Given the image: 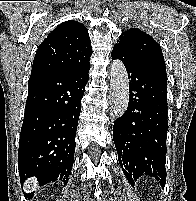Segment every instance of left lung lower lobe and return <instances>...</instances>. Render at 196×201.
I'll list each match as a JSON object with an SVG mask.
<instances>
[{
  "instance_id": "left-lung-lower-lobe-1",
  "label": "left lung lower lobe",
  "mask_w": 196,
  "mask_h": 201,
  "mask_svg": "<svg viewBox=\"0 0 196 201\" xmlns=\"http://www.w3.org/2000/svg\"><path fill=\"white\" fill-rule=\"evenodd\" d=\"M111 55L124 63L130 79L128 108L113 127V140L122 171L131 185L147 175L164 187L167 78L139 67L118 48H113Z\"/></svg>"
}]
</instances>
